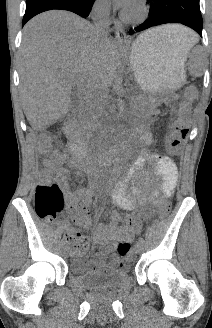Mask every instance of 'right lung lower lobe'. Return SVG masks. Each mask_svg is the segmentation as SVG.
<instances>
[{"mask_svg": "<svg viewBox=\"0 0 212 328\" xmlns=\"http://www.w3.org/2000/svg\"><path fill=\"white\" fill-rule=\"evenodd\" d=\"M94 1L95 0H26V11L22 24L24 25L39 13L53 9L68 10L82 17H88Z\"/></svg>", "mask_w": 212, "mask_h": 328, "instance_id": "obj_1", "label": "right lung lower lobe"}]
</instances>
